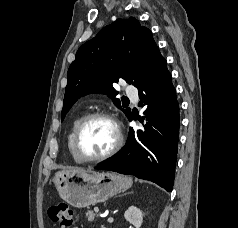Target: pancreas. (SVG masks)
Returning a JSON list of instances; mask_svg holds the SVG:
<instances>
[{
    "instance_id": "obj_1",
    "label": "pancreas",
    "mask_w": 238,
    "mask_h": 228,
    "mask_svg": "<svg viewBox=\"0 0 238 228\" xmlns=\"http://www.w3.org/2000/svg\"><path fill=\"white\" fill-rule=\"evenodd\" d=\"M86 217H87L88 221L92 222V221H94L96 214L93 211L88 210L86 212Z\"/></svg>"
}]
</instances>
